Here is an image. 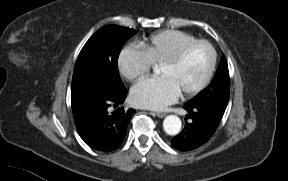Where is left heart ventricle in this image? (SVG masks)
<instances>
[{"instance_id": "1", "label": "left heart ventricle", "mask_w": 288, "mask_h": 181, "mask_svg": "<svg viewBox=\"0 0 288 181\" xmlns=\"http://www.w3.org/2000/svg\"><path fill=\"white\" fill-rule=\"evenodd\" d=\"M212 61L211 50L205 45L192 48L176 65H158L157 73L167 77L179 90L198 85L206 76Z\"/></svg>"}]
</instances>
